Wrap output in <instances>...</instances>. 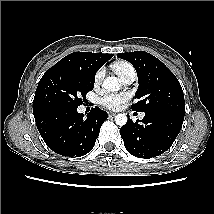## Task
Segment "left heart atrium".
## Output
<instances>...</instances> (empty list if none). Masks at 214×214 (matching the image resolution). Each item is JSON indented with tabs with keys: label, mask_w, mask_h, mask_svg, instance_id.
<instances>
[{
	"label": "left heart atrium",
	"mask_w": 214,
	"mask_h": 214,
	"mask_svg": "<svg viewBox=\"0 0 214 214\" xmlns=\"http://www.w3.org/2000/svg\"><path fill=\"white\" fill-rule=\"evenodd\" d=\"M129 98L130 94L127 92L107 93L100 98L99 102L108 109L117 110L120 109Z\"/></svg>",
	"instance_id": "obj_1"
}]
</instances>
